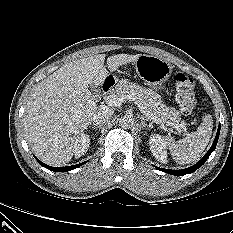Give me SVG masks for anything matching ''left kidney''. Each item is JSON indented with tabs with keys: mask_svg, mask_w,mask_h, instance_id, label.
<instances>
[{
	"mask_svg": "<svg viewBox=\"0 0 233 233\" xmlns=\"http://www.w3.org/2000/svg\"><path fill=\"white\" fill-rule=\"evenodd\" d=\"M150 150L160 163H167V150L164 139L159 134H152L149 139Z\"/></svg>",
	"mask_w": 233,
	"mask_h": 233,
	"instance_id": "left-kidney-1",
	"label": "left kidney"
}]
</instances>
